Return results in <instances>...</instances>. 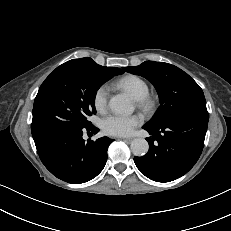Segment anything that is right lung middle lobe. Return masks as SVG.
<instances>
[{
    "mask_svg": "<svg viewBox=\"0 0 231 231\" xmlns=\"http://www.w3.org/2000/svg\"><path fill=\"white\" fill-rule=\"evenodd\" d=\"M123 71L100 65L59 66L42 83L34 101V141L47 142L66 131L85 128L96 113L95 96L106 81Z\"/></svg>",
    "mask_w": 231,
    "mask_h": 231,
    "instance_id": "obj_1",
    "label": "right lung middle lobe"
}]
</instances>
